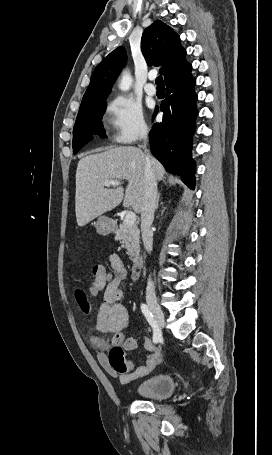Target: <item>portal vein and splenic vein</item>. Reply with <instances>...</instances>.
Segmentation results:
<instances>
[{"instance_id":"obj_1","label":"portal vein and splenic vein","mask_w":272,"mask_h":455,"mask_svg":"<svg viewBox=\"0 0 272 455\" xmlns=\"http://www.w3.org/2000/svg\"><path fill=\"white\" fill-rule=\"evenodd\" d=\"M104 185L109 187V186H119L120 182L116 180H108L104 182ZM136 222V215L134 212H127L125 215V223L127 225H134Z\"/></svg>"}]
</instances>
